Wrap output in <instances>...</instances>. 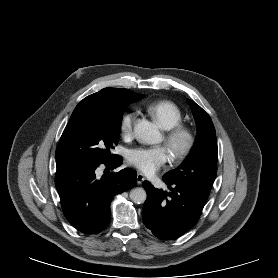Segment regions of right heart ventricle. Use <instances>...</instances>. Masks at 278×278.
<instances>
[{
    "instance_id": "e07e8e85",
    "label": "right heart ventricle",
    "mask_w": 278,
    "mask_h": 278,
    "mask_svg": "<svg viewBox=\"0 0 278 278\" xmlns=\"http://www.w3.org/2000/svg\"><path fill=\"white\" fill-rule=\"evenodd\" d=\"M147 113L162 127L169 130L181 123V109L172 101L159 100L146 106Z\"/></svg>"
}]
</instances>
